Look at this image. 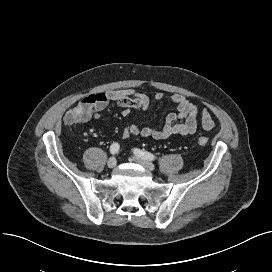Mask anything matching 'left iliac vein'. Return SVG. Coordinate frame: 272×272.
I'll return each mask as SVG.
<instances>
[{
    "label": "left iliac vein",
    "instance_id": "1",
    "mask_svg": "<svg viewBox=\"0 0 272 272\" xmlns=\"http://www.w3.org/2000/svg\"><path fill=\"white\" fill-rule=\"evenodd\" d=\"M135 162L139 163L140 165H142L143 167H145L146 169H148L149 171H154L155 170V166L152 162L145 160L139 156H135L132 158Z\"/></svg>",
    "mask_w": 272,
    "mask_h": 272
}]
</instances>
